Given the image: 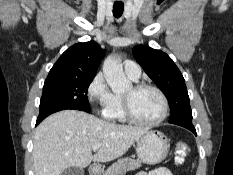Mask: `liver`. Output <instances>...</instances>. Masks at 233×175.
<instances>
[{
  "mask_svg": "<svg viewBox=\"0 0 233 175\" xmlns=\"http://www.w3.org/2000/svg\"><path fill=\"white\" fill-rule=\"evenodd\" d=\"M147 128L122 126L77 110L50 115L36 129L33 148L35 175H62L70 167L110 162L125 154ZM101 144L92 155V146Z\"/></svg>",
  "mask_w": 233,
  "mask_h": 175,
  "instance_id": "6515ba94",
  "label": "liver"
}]
</instances>
